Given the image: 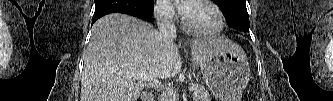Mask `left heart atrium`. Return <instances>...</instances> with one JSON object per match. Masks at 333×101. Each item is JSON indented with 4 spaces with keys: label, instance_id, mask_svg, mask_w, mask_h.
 <instances>
[{
    "label": "left heart atrium",
    "instance_id": "1",
    "mask_svg": "<svg viewBox=\"0 0 333 101\" xmlns=\"http://www.w3.org/2000/svg\"><path fill=\"white\" fill-rule=\"evenodd\" d=\"M185 8H186V5L180 4L179 9H180L181 13H184Z\"/></svg>",
    "mask_w": 333,
    "mask_h": 101
}]
</instances>
